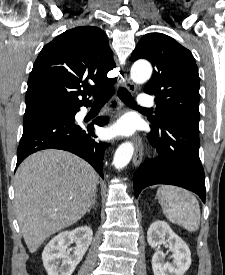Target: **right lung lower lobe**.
Wrapping results in <instances>:
<instances>
[{"mask_svg": "<svg viewBox=\"0 0 225 275\" xmlns=\"http://www.w3.org/2000/svg\"><path fill=\"white\" fill-rule=\"evenodd\" d=\"M78 111L79 108L66 110L65 113L45 111L24 116L16 168L28 155L55 148L80 156L103 177L104 151L109 144L96 139L93 124L80 126L75 123ZM107 122V117H98L93 121L99 126Z\"/></svg>", "mask_w": 225, "mask_h": 275, "instance_id": "98d812e1", "label": "right lung lower lobe"}]
</instances>
